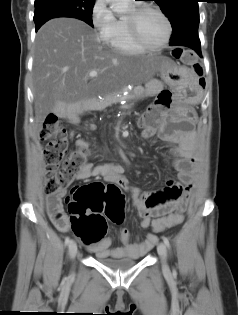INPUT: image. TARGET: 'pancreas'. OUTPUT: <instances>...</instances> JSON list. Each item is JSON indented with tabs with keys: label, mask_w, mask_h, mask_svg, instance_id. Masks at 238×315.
Masks as SVG:
<instances>
[{
	"label": "pancreas",
	"mask_w": 238,
	"mask_h": 315,
	"mask_svg": "<svg viewBox=\"0 0 238 315\" xmlns=\"http://www.w3.org/2000/svg\"><path fill=\"white\" fill-rule=\"evenodd\" d=\"M146 96V90L142 86L135 87L128 96L117 98L115 96H111L105 103L107 105H111L119 102L121 99H126L128 101H136L142 99Z\"/></svg>",
	"instance_id": "cf45deb5"
}]
</instances>
